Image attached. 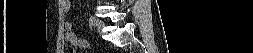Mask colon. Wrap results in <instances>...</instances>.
I'll use <instances>...</instances> for the list:
<instances>
[{"label":"colon","mask_w":253,"mask_h":53,"mask_svg":"<svg viewBox=\"0 0 253 53\" xmlns=\"http://www.w3.org/2000/svg\"><path fill=\"white\" fill-rule=\"evenodd\" d=\"M81 45H82V46H87V43H86V42H83ZM69 52H70V53H76V51H75L74 49H70Z\"/></svg>","instance_id":"colon-1"}]
</instances>
